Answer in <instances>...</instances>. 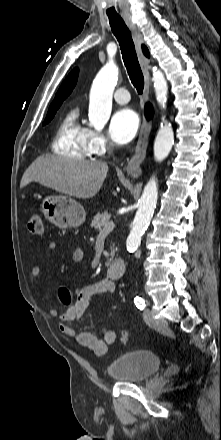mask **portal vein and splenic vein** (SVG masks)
<instances>
[{
	"mask_svg": "<svg viewBox=\"0 0 221 440\" xmlns=\"http://www.w3.org/2000/svg\"><path fill=\"white\" fill-rule=\"evenodd\" d=\"M114 227H115V224H114V222L113 221H111V222H109V223H107L105 226H104V228H103V232H110V231H112L113 229H114Z\"/></svg>",
	"mask_w": 221,
	"mask_h": 440,
	"instance_id": "18ae733b",
	"label": "portal vein and splenic vein"
}]
</instances>
